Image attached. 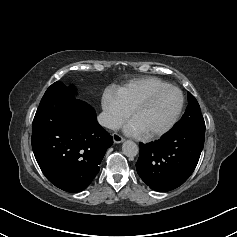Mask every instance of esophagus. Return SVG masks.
Wrapping results in <instances>:
<instances>
[{
	"mask_svg": "<svg viewBox=\"0 0 237 237\" xmlns=\"http://www.w3.org/2000/svg\"><path fill=\"white\" fill-rule=\"evenodd\" d=\"M113 141H114V143H121V142H123L124 141V138L121 136V135H119L118 133H113Z\"/></svg>",
	"mask_w": 237,
	"mask_h": 237,
	"instance_id": "obj_1",
	"label": "esophagus"
}]
</instances>
